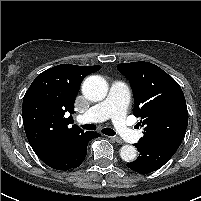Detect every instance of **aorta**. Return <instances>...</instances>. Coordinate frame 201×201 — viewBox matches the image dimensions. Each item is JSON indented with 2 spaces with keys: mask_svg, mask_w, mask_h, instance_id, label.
I'll return each mask as SVG.
<instances>
[{
  "mask_svg": "<svg viewBox=\"0 0 201 201\" xmlns=\"http://www.w3.org/2000/svg\"><path fill=\"white\" fill-rule=\"evenodd\" d=\"M108 92L106 80L98 75L89 76L82 85V93L90 101L98 102L103 100ZM137 150L132 145H124L120 149V157L125 162H132L136 159Z\"/></svg>",
  "mask_w": 201,
  "mask_h": 201,
  "instance_id": "aorta-1",
  "label": "aorta"
}]
</instances>
